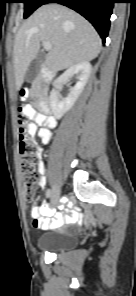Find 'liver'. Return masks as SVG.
Instances as JSON below:
<instances>
[{
	"label": "liver",
	"instance_id": "1",
	"mask_svg": "<svg viewBox=\"0 0 136 296\" xmlns=\"http://www.w3.org/2000/svg\"><path fill=\"white\" fill-rule=\"evenodd\" d=\"M43 41L52 45L46 58L51 73L93 60L102 47L94 27L80 14L57 3L42 5L15 36L13 63L17 90Z\"/></svg>",
	"mask_w": 136,
	"mask_h": 296
}]
</instances>
